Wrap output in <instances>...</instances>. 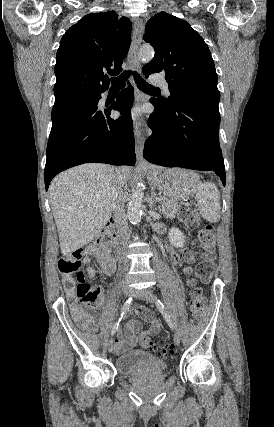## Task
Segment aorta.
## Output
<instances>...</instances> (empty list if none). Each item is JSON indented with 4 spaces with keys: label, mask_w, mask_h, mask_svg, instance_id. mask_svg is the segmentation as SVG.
Returning a JSON list of instances; mask_svg holds the SVG:
<instances>
[{
    "label": "aorta",
    "mask_w": 274,
    "mask_h": 427,
    "mask_svg": "<svg viewBox=\"0 0 274 427\" xmlns=\"http://www.w3.org/2000/svg\"><path fill=\"white\" fill-rule=\"evenodd\" d=\"M154 56V49L151 46H143L139 50V58L149 62ZM143 190L140 186H135L131 200L128 205V219L132 224H137L142 216Z\"/></svg>",
    "instance_id": "1"
}]
</instances>
